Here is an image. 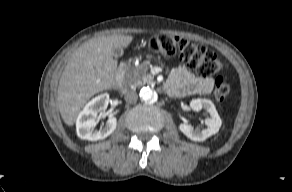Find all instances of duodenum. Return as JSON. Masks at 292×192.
I'll return each mask as SVG.
<instances>
[{
	"label": "duodenum",
	"instance_id": "duodenum-1",
	"mask_svg": "<svg viewBox=\"0 0 292 192\" xmlns=\"http://www.w3.org/2000/svg\"><path fill=\"white\" fill-rule=\"evenodd\" d=\"M125 71H126V64L120 65V67L117 71V74H116V84L117 85H119L122 82Z\"/></svg>",
	"mask_w": 292,
	"mask_h": 192
}]
</instances>
